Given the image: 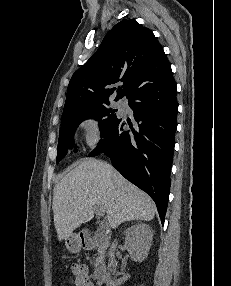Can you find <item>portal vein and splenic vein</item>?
<instances>
[{"label":"portal vein and splenic vein","mask_w":231,"mask_h":286,"mask_svg":"<svg viewBox=\"0 0 231 286\" xmlns=\"http://www.w3.org/2000/svg\"><path fill=\"white\" fill-rule=\"evenodd\" d=\"M94 211L96 212L97 215L103 216L105 214V210L101 206H94Z\"/></svg>","instance_id":"obj_1"}]
</instances>
